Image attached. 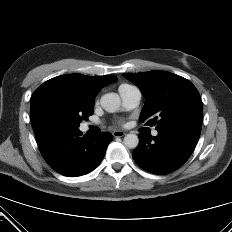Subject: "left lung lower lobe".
Segmentation results:
<instances>
[{
  "label": "left lung lower lobe",
  "instance_id": "left-lung-lower-lobe-1",
  "mask_svg": "<svg viewBox=\"0 0 232 232\" xmlns=\"http://www.w3.org/2000/svg\"><path fill=\"white\" fill-rule=\"evenodd\" d=\"M201 123L180 122L157 128L158 135L139 134L132 156L144 170L167 174L180 168L190 157L201 133Z\"/></svg>",
  "mask_w": 232,
  "mask_h": 232
}]
</instances>
